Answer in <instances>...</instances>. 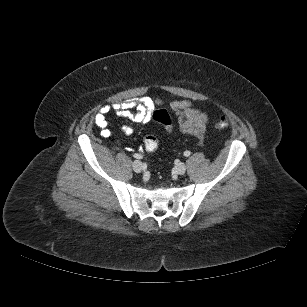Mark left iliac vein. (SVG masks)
Segmentation results:
<instances>
[{"label": "left iliac vein", "mask_w": 307, "mask_h": 307, "mask_svg": "<svg viewBox=\"0 0 307 307\" xmlns=\"http://www.w3.org/2000/svg\"><path fill=\"white\" fill-rule=\"evenodd\" d=\"M175 172L179 175H183L186 172V165L184 163H178L175 166Z\"/></svg>", "instance_id": "1"}]
</instances>
